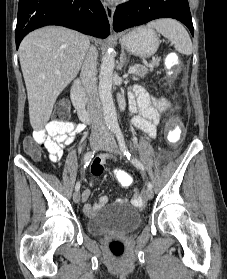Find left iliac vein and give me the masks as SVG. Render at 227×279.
<instances>
[{
    "instance_id": "4c4485c4",
    "label": "left iliac vein",
    "mask_w": 227,
    "mask_h": 279,
    "mask_svg": "<svg viewBox=\"0 0 227 279\" xmlns=\"http://www.w3.org/2000/svg\"><path fill=\"white\" fill-rule=\"evenodd\" d=\"M101 148L103 150L109 151L111 153L121 155V152L119 151L117 143H116L115 139L112 137H107L105 139L104 143L101 145ZM145 194L149 200L152 199L153 195H154L152 189H149V188L146 189Z\"/></svg>"
}]
</instances>
